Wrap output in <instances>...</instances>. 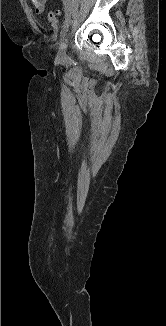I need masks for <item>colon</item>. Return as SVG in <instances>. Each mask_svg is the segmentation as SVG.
Instances as JSON below:
<instances>
[{
    "instance_id": "5ec220e1",
    "label": "colon",
    "mask_w": 166,
    "mask_h": 326,
    "mask_svg": "<svg viewBox=\"0 0 166 326\" xmlns=\"http://www.w3.org/2000/svg\"><path fill=\"white\" fill-rule=\"evenodd\" d=\"M47 19H48L51 23L55 24L56 21H57V13H56V12H53V11L48 12V13H47Z\"/></svg>"
}]
</instances>
